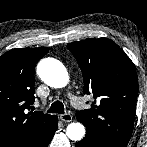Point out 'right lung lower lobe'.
<instances>
[{"label": "right lung lower lobe", "mask_w": 147, "mask_h": 147, "mask_svg": "<svg viewBox=\"0 0 147 147\" xmlns=\"http://www.w3.org/2000/svg\"><path fill=\"white\" fill-rule=\"evenodd\" d=\"M57 126L58 118L55 116L51 126L49 127L46 133L42 134V136L38 137L34 141L23 145L22 147H47L51 139L53 138L55 131L57 130Z\"/></svg>", "instance_id": "1"}]
</instances>
